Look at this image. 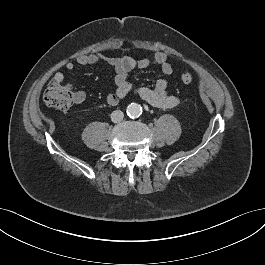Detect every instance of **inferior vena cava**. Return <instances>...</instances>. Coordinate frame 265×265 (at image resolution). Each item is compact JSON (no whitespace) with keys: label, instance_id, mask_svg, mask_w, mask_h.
<instances>
[{"label":"inferior vena cava","instance_id":"inferior-vena-cava-1","mask_svg":"<svg viewBox=\"0 0 265 265\" xmlns=\"http://www.w3.org/2000/svg\"><path fill=\"white\" fill-rule=\"evenodd\" d=\"M124 118V114L121 110H115L111 114V120L114 123L121 122Z\"/></svg>","mask_w":265,"mask_h":265}]
</instances>
